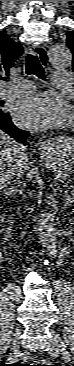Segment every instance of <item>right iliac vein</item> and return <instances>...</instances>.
Returning <instances> with one entry per match:
<instances>
[{
  "label": "right iliac vein",
  "instance_id": "1",
  "mask_svg": "<svg viewBox=\"0 0 74 366\" xmlns=\"http://www.w3.org/2000/svg\"><path fill=\"white\" fill-rule=\"evenodd\" d=\"M19 334H20V329L17 328L16 331H15V339L13 341V346H12V352L13 354H16L17 351H18V337H19Z\"/></svg>",
  "mask_w": 74,
  "mask_h": 366
}]
</instances>
